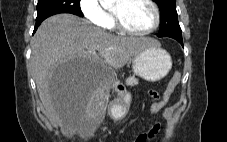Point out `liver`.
<instances>
[{
	"mask_svg": "<svg viewBox=\"0 0 227 142\" xmlns=\"http://www.w3.org/2000/svg\"><path fill=\"white\" fill-rule=\"evenodd\" d=\"M152 44L159 45V42L148 37L112 35L72 14L47 18L31 41V68L47 113L65 133L82 132L92 124L93 105L102 86L95 75L88 78L86 88H53L50 76L59 61H92V66H87L89 73L94 72V64L100 59L118 69Z\"/></svg>",
	"mask_w": 227,
	"mask_h": 142,
	"instance_id": "6515ba94",
	"label": "liver"
}]
</instances>
